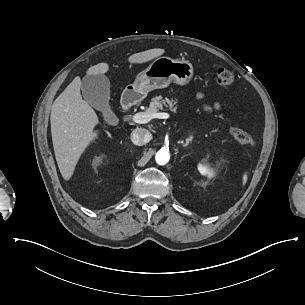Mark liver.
I'll use <instances>...</instances> for the list:
<instances>
[{"mask_svg":"<svg viewBox=\"0 0 305 305\" xmlns=\"http://www.w3.org/2000/svg\"><path fill=\"white\" fill-rule=\"evenodd\" d=\"M166 54L165 49L155 48L132 54L129 65H143ZM107 62L98 63L85 71L86 76L104 75L110 71ZM82 81L76 77L52 105L51 129L53 147L60 173L70 181L81 157L90 145L104 135L96 128L100 120L92 107L82 99Z\"/></svg>","mask_w":305,"mask_h":305,"instance_id":"6515ba94","label":"liver"}]
</instances>
